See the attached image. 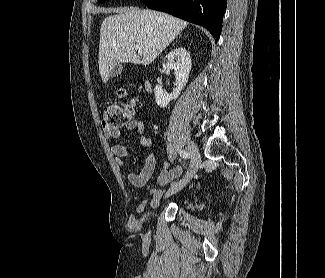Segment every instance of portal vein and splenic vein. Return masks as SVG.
Wrapping results in <instances>:
<instances>
[{
    "instance_id": "18ae733b",
    "label": "portal vein and splenic vein",
    "mask_w": 325,
    "mask_h": 278,
    "mask_svg": "<svg viewBox=\"0 0 325 278\" xmlns=\"http://www.w3.org/2000/svg\"><path fill=\"white\" fill-rule=\"evenodd\" d=\"M134 48H135L136 50H138V51H141V49H142V45H141L140 43H137V44L134 46Z\"/></svg>"
}]
</instances>
